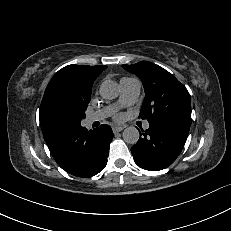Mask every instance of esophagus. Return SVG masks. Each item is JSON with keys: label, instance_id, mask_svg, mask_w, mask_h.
Segmentation results:
<instances>
[{"label": "esophagus", "instance_id": "esophagus-1", "mask_svg": "<svg viewBox=\"0 0 231 231\" xmlns=\"http://www.w3.org/2000/svg\"><path fill=\"white\" fill-rule=\"evenodd\" d=\"M124 128H125V126H114L112 128V130H113L114 133H117V132L122 131Z\"/></svg>", "mask_w": 231, "mask_h": 231}]
</instances>
